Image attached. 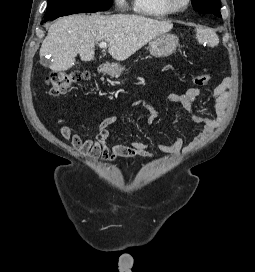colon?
<instances>
[{
	"label": "colon",
	"instance_id": "obj_1",
	"mask_svg": "<svg viewBox=\"0 0 255 272\" xmlns=\"http://www.w3.org/2000/svg\"><path fill=\"white\" fill-rule=\"evenodd\" d=\"M88 77V73L81 71L55 72L49 75L47 83L52 95L58 96L66 93L74 85ZM212 79L210 74H197L194 76V84L198 86L206 85Z\"/></svg>",
	"mask_w": 255,
	"mask_h": 272
}]
</instances>
